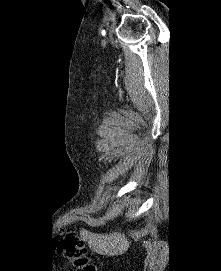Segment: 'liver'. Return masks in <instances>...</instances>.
I'll list each match as a JSON object with an SVG mask.
<instances>
[{
	"mask_svg": "<svg viewBox=\"0 0 221 271\" xmlns=\"http://www.w3.org/2000/svg\"><path fill=\"white\" fill-rule=\"evenodd\" d=\"M83 241H88L89 247L101 253V255H122L130 247L131 241L121 231H112V233H91L83 229L81 231Z\"/></svg>",
	"mask_w": 221,
	"mask_h": 271,
	"instance_id": "1",
	"label": "liver"
}]
</instances>
